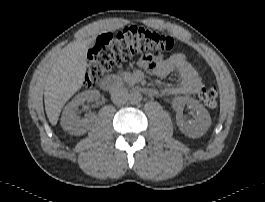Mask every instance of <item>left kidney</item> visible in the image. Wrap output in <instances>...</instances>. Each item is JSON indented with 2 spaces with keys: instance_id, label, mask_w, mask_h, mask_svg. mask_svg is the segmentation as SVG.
<instances>
[{
  "instance_id": "left-kidney-1",
  "label": "left kidney",
  "mask_w": 265,
  "mask_h": 202,
  "mask_svg": "<svg viewBox=\"0 0 265 202\" xmlns=\"http://www.w3.org/2000/svg\"><path fill=\"white\" fill-rule=\"evenodd\" d=\"M186 105L195 112L194 120H184L182 111ZM172 106L177 113V125L180 131L186 136L191 138L201 137L211 126V117L199 101L187 96L176 97L172 101Z\"/></svg>"
}]
</instances>
